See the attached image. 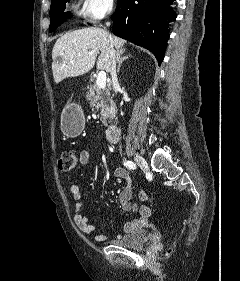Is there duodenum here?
Wrapping results in <instances>:
<instances>
[{"label": "duodenum", "mask_w": 240, "mask_h": 281, "mask_svg": "<svg viewBox=\"0 0 240 281\" xmlns=\"http://www.w3.org/2000/svg\"><path fill=\"white\" fill-rule=\"evenodd\" d=\"M106 138L110 142H117L119 139V131L117 126L115 125H110L106 129Z\"/></svg>", "instance_id": "410a0bca"}]
</instances>
